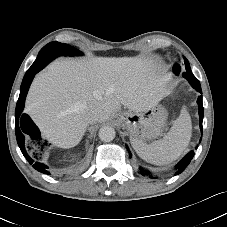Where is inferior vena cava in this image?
I'll list each match as a JSON object with an SVG mask.
<instances>
[{
    "mask_svg": "<svg viewBox=\"0 0 227 227\" xmlns=\"http://www.w3.org/2000/svg\"><path fill=\"white\" fill-rule=\"evenodd\" d=\"M86 116L89 122H95L97 118V110L95 108H90L86 112Z\"/></svg>",
    "mask_w": 227,
    "mask_h": 227,
    "instance_id": "602c4592",
    "label": "inferior vena cava"
}]
</instances>
